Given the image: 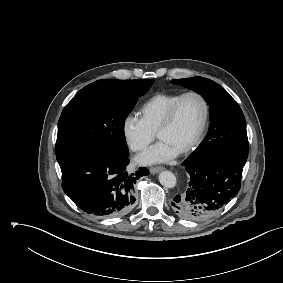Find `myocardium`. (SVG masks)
<instances>
[{
    "label": "myocardium",
    "mask_w": 283,
    "mask_h": 283,
    "mask_svg": "<svg viewBox=\"0 0 283 283\" xmlns=\"http://www.w3.org/2000/svg\"><path fill=\"white\" fill-rule=\"evenodd\" d=\"M190 96H194L196 98H198L200 100V102L202 103L203 106V117H202V121L200 124V127L198 129V132L196 134V136L194 137V139L192 140V142L186 146L183 150H181L179 153L180 154H187L190 153L191 151H193L194 149H196V147L200 144L203 135L206 131L208 122H209V116H210V108H209V103L207 101V99L204 97L203 94H201L200 92L197 91H188L185 93H182L177 100L172 104V106L169 108L162 124L160 125L159 129L157 130L156 134L157 137H160V134L163 133L164 131H166L167 129H169L176 117L177 111L182 103V101Z\"/></svg>",
    "instance_id": "myocardium-1"
}]
</instances>
